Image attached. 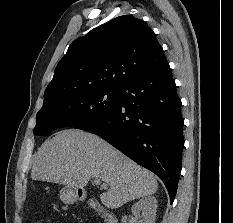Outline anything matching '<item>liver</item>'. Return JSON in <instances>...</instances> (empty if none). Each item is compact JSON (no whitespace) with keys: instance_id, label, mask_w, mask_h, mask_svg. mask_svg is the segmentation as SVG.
<instances>
[{"instance_id":"obj_1","label":"liver","mask_w":233,"mask_h":223,"mask_svg":"<svg viewBox=\"0 0 233 223\" xmlns=\"http://www.w3.org/2000/svg\"><path fill=\"white\" fill-rule=\"evenodd\" d=\"M31 177L69 187H85L91 177H99L108 185L99 199L110 209L152 195L158 187L154 173L102 137L81 129H63L46 139L32 157Z\"/></svg>"}]
</instances>
